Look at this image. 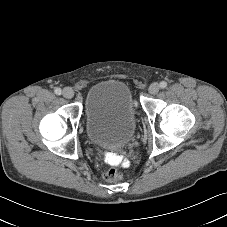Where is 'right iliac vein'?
Here are the masks:
<instances>
[{"label":"right iliac vein","mask_w":227,"mask_h":227,"mask_svg":"<svg viewBox=\"0 0 227 227\" xmlns=\"http://www.w3.org/2000/svg\"><path fill=\"white\" fill-rule=\"evenodd\" d=\"M62 94H63V96H64L65 98L71 99V98H73V96H74V91H73L72 88L66 87V88L63 89Z\"/></svg>","instance_id":"right-iliac-vein-1"}]
</instances>
